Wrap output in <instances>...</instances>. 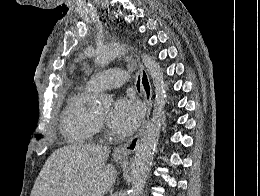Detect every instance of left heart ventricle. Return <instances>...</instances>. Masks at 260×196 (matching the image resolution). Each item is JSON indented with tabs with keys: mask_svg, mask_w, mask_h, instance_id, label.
<instances>
[{
	"mask_svg": "<svg viewBox=\"0 0 260 196\" xmlns=\"http://www.w3.org/2000/svg\"><path fill=\"white\" fill-rule=\"evenodd\" d=\"M99 119L106 121L109 116V110L95 113Z\"/></svg>",
	"mask_w": 260,
	"mask_h": 196,
	"instance_id": "left-heart-ventricle-1",
	"label": "left heart ventricle"
}]
</instances>
